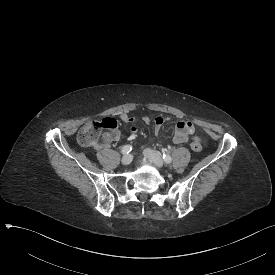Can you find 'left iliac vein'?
I'll return each mask as SVG.
<instances>
[{
    "label": "left iliac vein",
    "instance_id": "obj_1",
    "mask_svg": "<svg viewBox=\"0 0 275 275\" xmlns=\"http://www.w3.org/2000/svg\"><path fill=\"white\" fill-rule=\"evenodd\" d=\"M143 154L147 160L156 165L157 167H163V159L162 157L153 149H144Z\"/></svg>",
    "mask_w": 275,
    "mask_h": 275
}]
</instances>
